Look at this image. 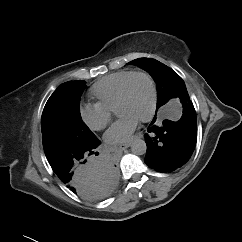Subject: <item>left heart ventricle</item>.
I'll return each mask as SVG.
<instances>
[{
    "mask_svg": "<svg viewBox=\"0 0 242 242\" xmlns=\"http://www.w3.org/2000/svg\"><path fill=\"white\" fill-rule=\"evenodd\" d=\"M151 88L147 78L134 77L129 85L126 100L117 108L118 116L132 115L138 120L145 116L150 108Z\"/></svg>",
    "mask_w": 242,
    "mask_h": 242,
    "instance_id": "left-heart-ventricle-1",
    "label": "left heart ventricle"
}]
</instances>
